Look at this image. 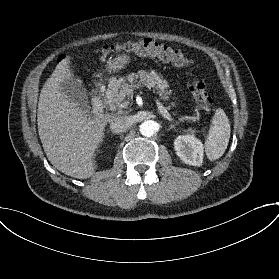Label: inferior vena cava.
Returning a JSON list of instances; mask_svg holds the SVG:
<instances>
[{
	"instance_id": "inferior-vena-cava-1",
	"label": "inferior vena cava",
	"mask_w": 279,
	"mask_h": 279,
	"mask_svg": "<svg viewBox=\"0 0 279 279\" xmlns=\"http://www.w3.org/2000/svg\"><path fill=\"white\" fill-rule=\"evenodd\" d=\"M131 126V122L127 116L117 115L110 121V129L113 133L126 132Z\"/></svg>"
}]
</instances>
